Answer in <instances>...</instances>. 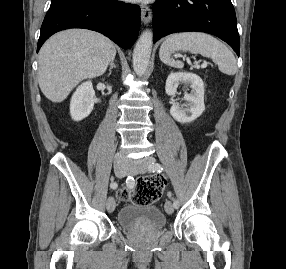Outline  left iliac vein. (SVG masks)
<instances>
[{"mask_svg":"<svg viewBox=\"0 0 286 269\" xmlns=\"http://www.w3.org/2000/svg\"><path fill=\"white\" fill-rule=\"evenodd\" d=\"M155 163V159L153 157H146L139 160H131L129 173L132 175H136L138 173H144L148 170V167ZM165 211L167 214H172L174 212V206L170 201L165 203Z\"/></svg>","mask_w":286,"mask_h":269,"instance_id":"1","label":"left iliac vein"}]
</instances>
